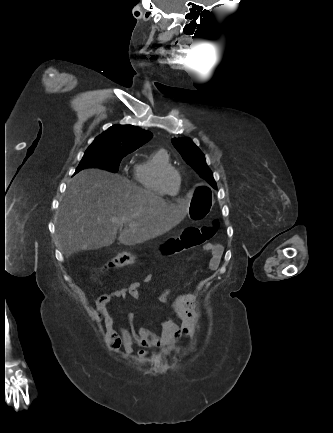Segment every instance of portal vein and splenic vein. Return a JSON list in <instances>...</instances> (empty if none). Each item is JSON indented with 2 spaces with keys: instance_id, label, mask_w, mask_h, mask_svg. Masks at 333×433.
Wrapping results in <instances>:
<instances>
[{
  "instance_id": "portal-vein-and-splenic-vein-1",
  "label": "portal vein and splenic vein",
  "mask_w": 333,
  "mask_h": 433,
  "mask_svg": "<svg viewBox=\"0 0 333 433\" xmlns=\"http://www.w3.org/2000/svg\"><path fill=\"white\" fill-rule=\"evenodd\" d=\"M125 219H126L125 217H122L121 220H120V222L125 221Z\"/></svg>"
}]
</instances>
